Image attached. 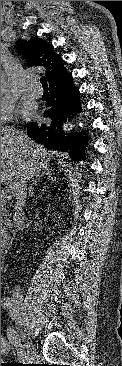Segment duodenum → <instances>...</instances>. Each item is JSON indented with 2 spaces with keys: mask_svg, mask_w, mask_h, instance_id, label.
Here are the masks:
<instances>
[{
  "mask_svg": "<svg viewBox=\"0 0 122 366\" xmlns=\"http://www.w3.org/2000/svg\"><path fill=\"white\" fill-rule=\"evenodd\" d=\"M6 237L4 236V234H2L1 232V249L4 247L5 243H6Z\"/></svg>",
  "mask_w": 122,
  "mask_h": 366,
  "instance_id": "duodenum-1",
  "label": "duodenum"
}]
</instances>
